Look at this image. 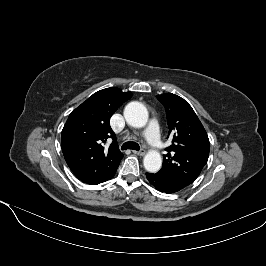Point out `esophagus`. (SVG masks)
Here are the masks:
<instances>
[{
	"label": "esophagus",
	"instance_id": "1",
	"mask_svg": "<svg viewBox=\"0 0 266 266\" xmlns=\"http://www.w3.org/2000/svg\"><path fill=\"white\" fill-rule=\"evenodd\" d=\"M133 152H134V154L139 155V156H143L145 154V150L144 149H141L139 151H133Z\"/></svg>",
	"mask_w": 266,
	"mask_h": 266
}]
</instances>
